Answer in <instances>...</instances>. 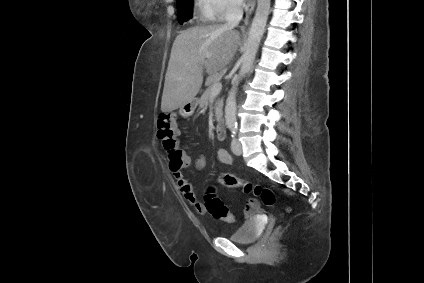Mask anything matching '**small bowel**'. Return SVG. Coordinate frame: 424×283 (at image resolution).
Returning a JSON list of instances; mask_svg holds the SVG:
<instances>
[{"mask_svg": "<svg viewBox=\"0 0 424 283\" xmlns=\"http://www.w3.org/2000/svg\"><path fill=\"white\" fill-rule=\"evenodd\" d=\"M189 159V165L190 166L192 164V161L190 159V157L188 156ZM217 159L220 163L224 164V165H231L233 162L232 156L229 154V152L226 149H219L217 151ZM206 161L205 158L203 156L198 157L195 162H194V169L196 171H200L205 167ZM173 177L176 181V184L180 190V192L182 193V195L184 196V198L186 199V201L192 205L195 210L200 213V214H204L206 213V209L204 206V203H202L201 201H199L193 191V186L190 183V181L184 176L183 172L180 170L172 172Z\"/></svg>", "mask_w": 424, "mask_h": 283, "instance_id": "obj_1", "label": "small bowel"}]
</instances>
